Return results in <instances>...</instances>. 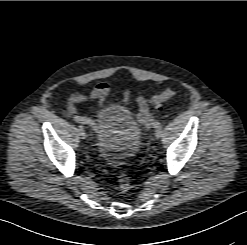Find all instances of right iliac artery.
<instances>
[{"label":"right iliac artery","instance_id":"obj_1","mask_svg":"<svg viewBox=\"0 0 247 245\" xmlns=\"http://www.w3.org/2000/svg\"><path fill=\"white\" fill-rule=\"evenodd\" d=\"M73 120L77 123L87 124L91 126L93 129H95V124L90 118L83 117V116H77V117H74Z\"/></svg>","mask_w":247,"mask_h":245}]
</instances>
